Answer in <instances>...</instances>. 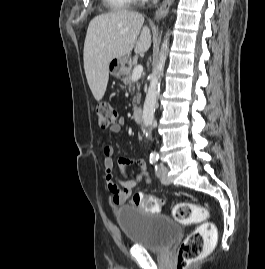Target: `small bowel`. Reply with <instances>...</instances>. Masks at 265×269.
Wrapping results in <instances>:
<instances>
[{
	"label": "small bowel",
	"mask_w": 265,
	"mask_h": 269,
	"mask_svg": "<svg viewBox=\"0 0 265 269\" xmlns=\"http://www.w3.org/2000/svg\"><path fill=\"white\" fill-rule=\"evenodd\" d=\"M124 125V120L120 119L118 123L110 128L112 133H120ZM104 154V172L107 182L108 190L112 193V201L115 205H123L130 197L131 192L136 189L141 183H150V177L146 169V162L144 159L132 160L129 157L121 156L118 159V166L121 172L125 175L129 165L135 163L139 172L134 178H127L120 180L118 183L113 180L114 169V155L115 149L111 145H104L102 148Z\"/></svg>",
	"instance_id": "obj_1"
}]
</instances>
